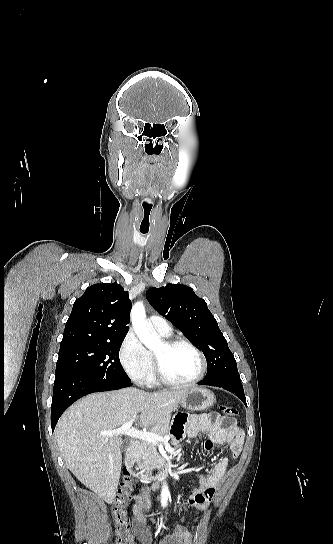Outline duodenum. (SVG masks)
Returning <instances> with one entry per match:
<instances>
[{"instance_id": "410a0bca", "label": "duodenum", "mask_w": 333, "mask_h": 544, "mask_svg": "<svg viewBox=\"0 0 333 544\" xmlns=\"http://www.w3.org/2000/svg\"><path fill=\"white\" fill-rule=\"evenodd\" d=\"M139 449L140 443L135 441L130 444L125 454L126 467L131 475L142 482H149L162 479L171 472L173 467L172 462L166 459L154 466L141 464L137 459Z\"/></svg>"}]
</instances>
